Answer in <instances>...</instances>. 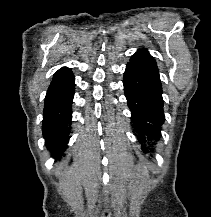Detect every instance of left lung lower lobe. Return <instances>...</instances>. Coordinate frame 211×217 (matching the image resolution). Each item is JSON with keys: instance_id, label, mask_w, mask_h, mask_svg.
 Instances as JSON below:
<instances>
[{"instance_id": "0a47b994", "label": "left lung lower lobe", "mask_w": 211, "mask_h": 217, "mask_svg": "<svg viewBox=\"0 0 211 217\" xmlns=\"http://www.w3.org/2000/svg\"><path fill=\"white\" fill-rule=\"evenodd\" d=\"M123 84L134 130L141 143L153 145L160 139V127L165 120L161 82L127 64ZM144 150L147 152V147Z\"/></svg>"}]
</instances>
